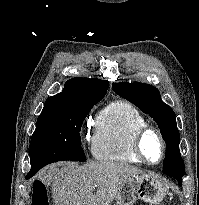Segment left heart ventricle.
Wrapping results in <instances>:
<instances>
[{
    "label": "left heart ventricle",
    "mask_w": 199,
    "mask_h": 205,
    "mask_svg": "<svg viewBox=\"0 0 199 205\" xmlns=\"http://www.w3.org/2000/svg\"><path fill=\"white\" fill-rule=\"evenodd\" d=\"M143 151L152 162H156L161 157V145L154 134H148L143 140Z\"/></svg>",
    "instance_id": "left-heart-ventricle-1"
}]
</instances>
